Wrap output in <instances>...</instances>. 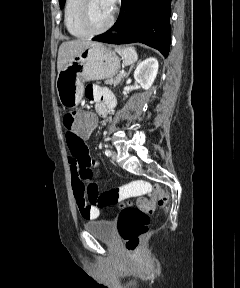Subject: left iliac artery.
<instances>
[{
    "label": "left iliac artery",
    "mask_w": 240,
    "mask_h": 288,
    "mask_svg": "<svg viewBox=\"0 0 240 288\" xmlns=\"http://www.w3.org/2000/svg\"><path fill=\"white\" fill-rule=\"evenodd\" d=\"M105 155H106V156H111V151H110L109 149H106V150H105Z\"/></svg>",
    "instance_id": "1"
}]
</instances>
